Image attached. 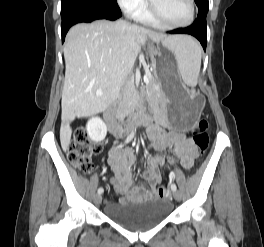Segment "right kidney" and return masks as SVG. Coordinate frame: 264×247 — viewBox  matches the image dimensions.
Segmentation results:
<instances>
[{
  "instance_id": "1",
  "label": "right kidney",
  "mask_w": 264,
  "mask_h": 247,
  "mask_svg": "<svg viewBox=\"0 0 264 247\" xmlns=\"http://www.w3.org/2000/svg\"><path fill=\"white\" fill-rule=\"evenodd\" d=\"M88 137L94 142L103 141L107 134V127L100 117H92L86 125Z\"/></svg>"
}]
</instances>
